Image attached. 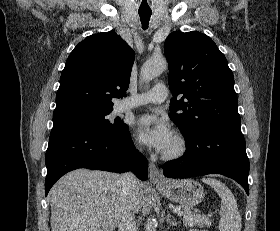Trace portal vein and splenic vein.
<instances>
[{"label": "portal vein and splenic vein", "mask_w": 280, "mask_h": 231, "mask_svg": "<svg viewBox=\"0 0 280 231\" xmlns=\"http://www.w3.org/2000/svg\"><path fill=\"white\" fill-rule=\"evenodd\" d=\"M173 211H176L177 213V211H180V207H174Z\"/></svg>", "instance_id": "18ae733b"}]
</instances>
